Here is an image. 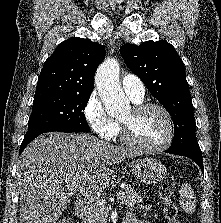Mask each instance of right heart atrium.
<instances>
[{
    "instance_id": "1",
    "label": "right heart atrium",
    "mask_w": 221,
    "mask_h": 223,
    "mask_svg": "<svg viewBox=\"0 0 221 223\" xmlns=\"http://www.w3.org/2000/svg\"><path fill=\"white\" fill-rule=\"evenodd\" d=\"M84 118L101 139L111 140L118 133V124L106 113L100 97L92 92L83 108Z\"/></svg>"
}]
</instances>
